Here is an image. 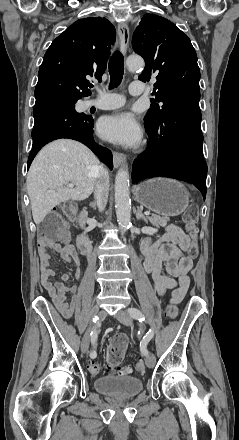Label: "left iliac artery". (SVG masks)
<instances>
[{
  "mask_svg": "<svg viewBox=\"0 0 239 440\" xmlns=\"http://www.w3.org/2000/svg\"><path fill=\"white\" fill-rule=\"evenodd\" d=\"M128 313L130 314L131 317L138 320L139 322H143L145 320L144 315L137 308H129ZM153 335H154V330L151 328L148 330V332L140 342V350L144 355H148L147 344L153 338Z\"/></svg>",
  "mask_w": 239,
  "mask_h": 440,
  "instance_id": "obj_1",
  "label": "left iliac artery"
}]
</instances>
